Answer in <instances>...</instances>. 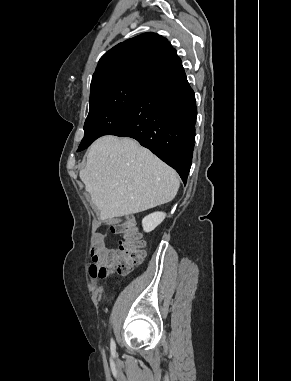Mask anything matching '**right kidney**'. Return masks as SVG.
I'll return each instance as SVG.
<instances>
[{"instance_id":"obj_1","label":"right kidney","mask_w":291,"mask_h":381,"mask_svg":"<svg viewBox=\"0 0 291 381\" xmlns=\"http://www.w3.org/2000/svg\"><path fill=\"white\" fill-rule=\"evenodd\" d=\"M165 216L166 214L163 212H154L146 216L142 220L143 230L147 233L153 231L159 224L163 222Z\"/></svg>"}]
</instances>
